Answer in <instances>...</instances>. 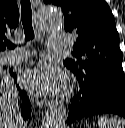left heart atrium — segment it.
Wrapping results in <instances>:
<instances>
[{
    "instance_id": "left-heart-atrium-1",
    "label": "left heart atrium",
    "mask_w": 125,
    "mask_h": 128,
    "mask_svg": "<svg viewBox=\"0 0 125 128\" xmlns=\"http://www.w3.org/2000/svg\"><path fill=\"white\" fill-rule=\"evenodd\" d=\"M22 82L29 91L40 96L58 92L64 86L62 74L47 62H42L24 73Z\"/></svg>"
}]
</instances>
